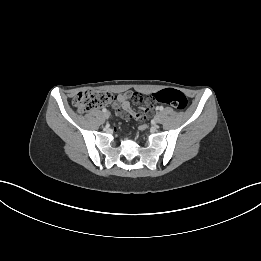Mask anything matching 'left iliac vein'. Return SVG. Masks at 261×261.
<instances>
[{"label": "left iliac vein", "instance_id": "obj_1", "mask_svg": "<svg viewBox=\"0 0 261 261\" xmlns=\"http://www.w3.org/2000/svg\"><path fill=\"white\" fill-rule=\"evenodd\" d=\"M154 121H155L156 123H160V122H161V115H160L159 113H157V114L155 115Z\"/></svg>", "mask_w": 261, "mask_h": 261}]
</instances>
